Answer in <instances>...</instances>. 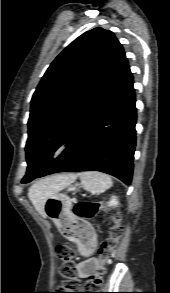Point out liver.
Instances as JSON below:
<instances>
[{
    "instance_id": "1",
    "label": "liver",
    "mask_w": 170,
    "mask_h": 293,
    "mask_svg": "<svg viewBox=\"0 0 170 293\" xmlns=\"http://www.w3.org/2000/svg\"><path fill=\"white\" fill-rule=\"evenodd\" d=\"M77 174H61L45 178L38 183L34 184L28 192V197L35 207L36 211L42 216L46 217L44 212V203L46 199L60 190L64 186L75 181Z\"/></svg>"
}]
</instances>
